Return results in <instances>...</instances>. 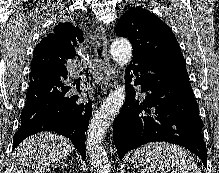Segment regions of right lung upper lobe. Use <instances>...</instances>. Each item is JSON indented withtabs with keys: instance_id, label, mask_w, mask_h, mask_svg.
I'll return each instance as SVG.
<instances>
[{
	"instance_id": "obj_1",
	"label": "right lung upper lobe",
	"mask_w": 219,
	"mask_h": 173,
	"mask_svg": "<svg viewBox=\"0 0 219 173\" xmlns=\"http://www.w3.org/2000/svg\"><path fill=\"white\" fill-rule=\"evenodd\" d=\"M84 40L83 33L71 23H61L54 33L47 35L35 47L31 68L41 63H65L75 57L77 41Z\"/></svg>"
}]
</instances>
